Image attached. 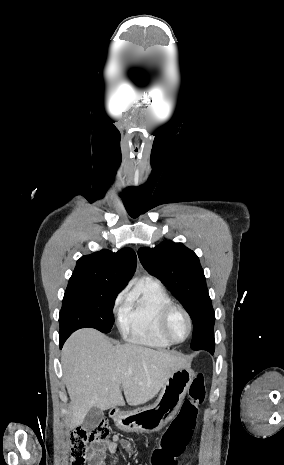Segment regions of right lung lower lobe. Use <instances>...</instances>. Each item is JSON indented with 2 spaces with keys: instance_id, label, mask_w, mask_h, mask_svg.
<instances>
[{
  "instance_id": "obj_1",
  "label": "right lung lower lobe",
  "mask_w": 284,
  "mask_h": 465,
  "mask_svg": "<svg viewBox=\"0 0 284 465\" xmlns=\"http://www.w3.org/2000/svg\"><path fill=\"white\" fill-rule=\"evenodd\" d=\"M72 334V333H71ZM71 334H65V335H60V349L62 348L64 342L67 340V338L71 335Z\"/></svg>"
}]
</instances>
